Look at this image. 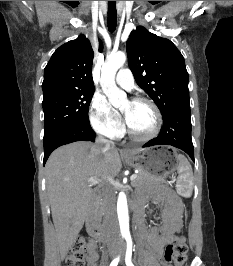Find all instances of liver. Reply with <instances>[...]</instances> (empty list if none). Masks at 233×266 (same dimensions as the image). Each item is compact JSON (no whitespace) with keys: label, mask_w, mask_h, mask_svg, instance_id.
<instances>
[{"label":"liver","mask_w":233,"mask_h":266,"mask_svg":"<svg viewBox=\"0 0 233 266\" xmlns=\"http://www.w3.org/2000/svg\"><path fill=\"white\" fill-rule=\"evenodd\" d=\"M143 149H137L140 152ZM122 167L114 146L77 141L56 149L46 163V185L52 218L63 260L78 236L92 199L90 178L101 184L110 182Z\"/></svg>","instance_id":"obj_1"}]
</instances>
